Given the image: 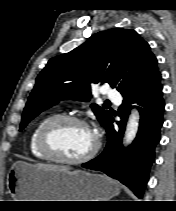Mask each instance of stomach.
Here are the masks:
<instances>
[{"mask_svg": "<svg viewBox=\"0 0 176 211\" xmlns=\"http://www.w3.org/2000/svg\"><path fill=\"white\" fill-rule=\"evenodd\" d=\"M7 189L15 201H108L119 184L102 174L83 170H46L26 162L14 163Z\"/></svg>", "mask_w": 176, "mask_h": 211, "instance_id": "stomach-1", "label": "stomach"}]
</instances>
